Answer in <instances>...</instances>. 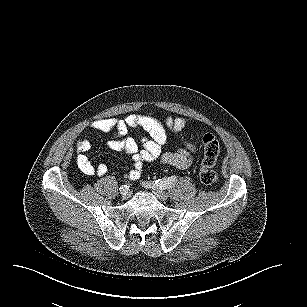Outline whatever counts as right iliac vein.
I'll return each instance as SVG.
<instances>
[{"instance_id":"obj_1","label":"right iliac vein","mask_w":307,"mask_h":307,"mask_svg":"<svg viewBox=\"0 0 307 307\" xmlns=\"http://www.w3.org/2000/svg\"><path fill=\"white\" fill-rule=\"evenodd\" d=\"M119 190H120L121 196L124 199H126V198H128L130 196V192H129L127 187H125L124 189L120 188Z\"/></svg>"}]
</instances>
